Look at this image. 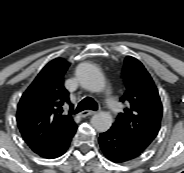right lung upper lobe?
<instances>
[{"instance_id":"right-lung-upper-lobe-1","label":"right lung upper lobe","mask_w":184,"mask_h":173,"mask_svg":"<svg viewBox=\"0 0 184 173\" xmlns=\"http://www.w3.org/2000/svg\"><path fill=\"white\" fill-rule=\"evenodd\" d=\"M69 65L62 58L49 62L19 101L17 124L33 151L51 146L76 126L69 93L64 87ZM67 105L71 107L69 113L64 112Z\"/></svg>"}]
</instances>
